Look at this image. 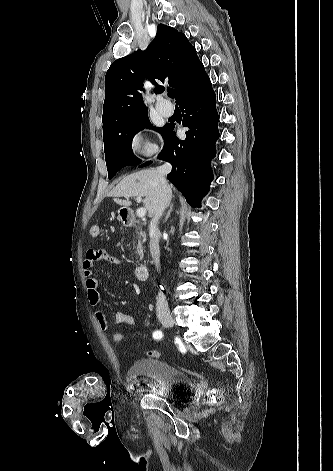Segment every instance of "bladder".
Returning a JSON list of instances; mask_svg holds the SVG:
<instances>
[{"mask_svg": "<svg viewBox=\"0 0 333 471\" xmlns=\"http://www.w3.org/2000/svg\"><path fill=\"white\" fill-rule=\"evenodd\" d=\"M130 376L153 382L155 393L161 399L176 403L189 398L194 391L190 377L173 364L157 358H141L129 367Z\"/></svg>", "mask_w": 333, "mask_h": 471, "instance_id": "1", "label": "bladder"}]
</instances>
